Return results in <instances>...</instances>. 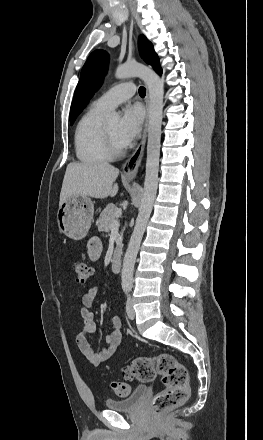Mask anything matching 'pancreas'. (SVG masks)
Segmentation results:
<instances>
[{
	"label": "pancreas",
	"mask_w": 263,
	"mask_h": 440,
	"mask_svg": "<svg viewBox=\"0 0 263 440\" xmlns=\"http://www.w3.org/2000/svg\"><path fill=\"white\" fill-rule=\"evenodd\" d=\"M119 209L114 204H108L106 208L101 212L99 219L97 220V225L105 232H109L111 229V225L115 220L116 212ZM121 237L120 235V243L117 245L114 255L116 256L121 252Z\"/></svg>",
	"instance_id": "obj_1"
}]
</instances>
